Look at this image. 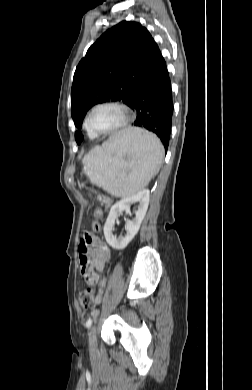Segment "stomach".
<instances>
[{"mask_svg":"<svg viewBox=\"0 0 252 390\" xmlns=\"http://www.w3.org/2000/svg\"><path fill=\"white\" fill-rule=\"evenodd\" d=\"M125 159H126L127 161H129L131 158H130L129 155H126V156H125Z\"/></svg>","mask_w":252,"mask_h":390,"instance_id":"stomach-1","label":"stomach"}]
</instances>
